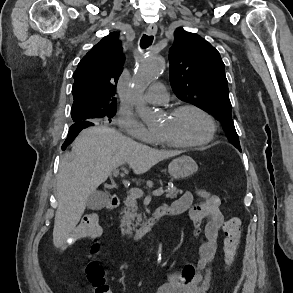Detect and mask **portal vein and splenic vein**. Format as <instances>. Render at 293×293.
Here are the masks:
<instances>
[{"mask_svg": "<svg viewBox=\"0 0 293 293\" xmlns=\"http://www.w3.org/2000/svg\"><path fill=\"white\" fill-rule=\"evenodd\" d=\"M118 174H119V170L115 169L113 171V176L116 177L118 176ZM129 193L136 198H141L143 197V194H144L143 191L139 188H131ZM150 194L153 196H162L164 194V191L162 189H158V190L152 191Z\"/></svg>", "mask_w": 293, "mask_h": 293, "instance_id": "obj_1", "label": "portal vein and splenic vein"}]
</instances>
